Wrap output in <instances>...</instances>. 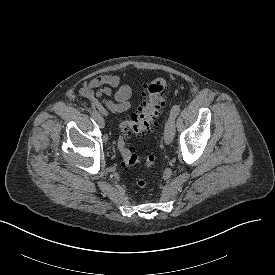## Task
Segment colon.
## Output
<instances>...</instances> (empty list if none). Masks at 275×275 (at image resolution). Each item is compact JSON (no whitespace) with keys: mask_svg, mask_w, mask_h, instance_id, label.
I'll use <instances>...</instances> for the list:
<instances>
[{"mask_svg":"<svg viewBox=\"0 0 275 275\" xmlns=\"http://www.w3.org/2000/svg\"><path fill=\"white\" fill-rule=\"evenodd\" d=\"M170 87V83L165 78H154L145 87L142 103L136 112L131 118L120 123L118 147L126 170L133 168L141 162L135 149L127 146V138L132 134L142 137L153 130L165 105V96L170 91ZM142 161L146 166L147 172H151L155 157L149 155ZM147 185L148 180L146 178L136 180V186L139 189H144Z\"/></svg>","mask_w":275,"mask_h":275,"instance_id":"obj_1","label":"colon"}]
</instances>
